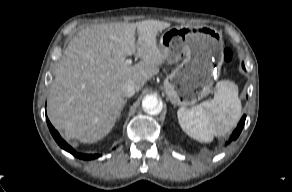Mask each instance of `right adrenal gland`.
<instances>
[{"label":"right adrenal gland","instance_id":"1","mask_svg":"<svg viewBox=\"0 0 292 192\" xmlns=\"http://www.w3.org/2000/svg\"><path fill=\"white\" fill-rule=\"evenodd\" d=\"M126 102H127V100H125V104H126ZM124 104V105H125ZM120 117H121V112H120V114H119V116H118V119H120Z\"/></svg>","mask_w":292,"mask_h":192}]
</instances>
